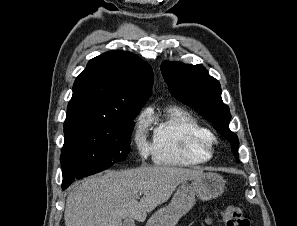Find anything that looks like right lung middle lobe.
I'll return each mask as SVG.
<instances>
[{
	"label": "right lung middle lobe",
	"instance_id": "right-lung-middle-lobe-1",
	"mask_svg": "<svg viewBox=\"0 0 297 226\" xmlns=\"http://www.w3.org/2000/svg\"><path fill=\"white\" fill-rule=\"evenodd\" d=\"M142 106L128 107L117 121L76 119L64 122L63 177L91 168H108L130 152L133 119Z\"/></svg>",
	"mask_w": 297,
	"mask_h": 226
}]
</instances>
